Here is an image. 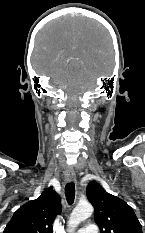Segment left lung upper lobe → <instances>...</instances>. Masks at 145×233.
Returning <instances> with one entry per match:
<instances>
[{
    "label": "left lung upper lobe",
    "instance_id": "left-lung-upper-lobe-1",
    "mask_svg": "<svg viewBox=\"0 0 145 233\" xmlns=\"http://www.w3.org/2000/svg\"><path fill=\"white\" fill-rule=\"evenodd\" d=\"M86 193L101 233H142L140 222L126 202L107 193L97 182L89 183Z\"/></svg>",
    "mask_w": 145,
    "mask_h": 233
}]
</instances>
